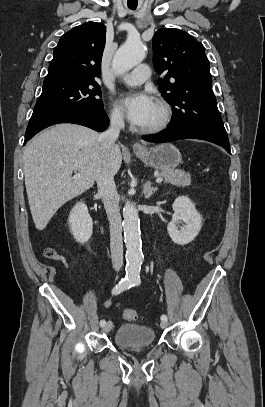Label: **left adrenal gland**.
<instances>
[{
    "instance_id": "obj_1",
    "label": "left adrenal gland",
    "mask_w": 265,
    "mask_h": 407,
    "mask_svg": "<svg viewBox=\"0 0 265 407\" xmlns=\"http://www.w3.org/2000/svg\"><path fill=\"white\" fill-rule=\"evenodd\" d=\"M158 190L157 187L151 186V181H147L143 187V194L145 198H150Z\"/></svg>"
}]
</instances>
